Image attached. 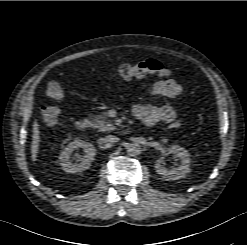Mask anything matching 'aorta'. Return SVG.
<instances>
[{"label": "aorta", "instance_id": "1", "mask_svg": "<svg viewBox=\"0 0 247 245\" xmlns=\"http://www.w3.org/2000/svg\"><path fill=\"white\" fill-rule=\"evenodd\" d=\"M142 148L138 143H131L127 146V153L131 157H137L141 154Z\"/></svg>", "mask_w": 247, "mask_h": 245}]
</instances>
